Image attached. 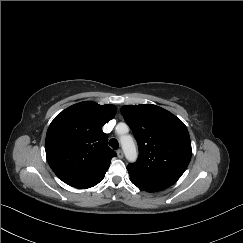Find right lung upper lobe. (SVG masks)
<instances>
[{
	"label": "right lung upper lobe",
	"mask_w": 243,
	"mask_h": 243,
	"mask_svg": "<svg viewBox=\"0 0 243 243\" xmlns=\"http://www.w3.org/2000/svg\"><path fill=\"white\" fill-rule=\"evenodd\" d=\"M115 114L114 105L84 101L54 118L45 151L50 167L63 182L80 188L106 173L116 152L108 147L102 126Z\"/></svg>",
	"instance_id": "1"
}]
</instances>
